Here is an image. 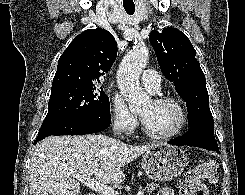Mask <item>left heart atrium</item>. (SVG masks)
<instances>
[{
    "mask_svg": "<svg viewBox=\"0 0 245 195\" xmlns=\"http://www.w3.org/2000/svg\"><path fill=\"white\" fill-rule=\"evenodd\" d=\"M142 120H143V122H144V117H142Z\"/></svg>",
    "mask_w": 245,
    "mask_h": 195,
    "instance_id": "obj_1",
    "label": "left heart atrium"
}]
</instances>
